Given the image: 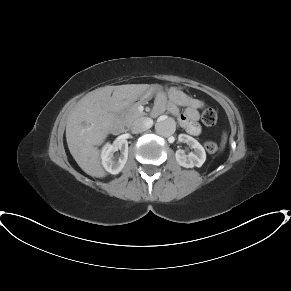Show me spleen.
I'll return each mask as SVG.
<instances>
[{
  "label": "spleen",
  "mask_w": 291,
  "mask_h": 291,
  "mask_svg": "<svg viewBox=\"0 0 291 291\" xmlns=\"http://www.w3.org/2000/svg\"><path fill=\"white\" fill-rule=\"evenodd\" d=\"M226 134L224 133L223 134V139H222V142H221V148L223 149L224 148V146H225V143H226Z\"/></svg>",
  "instance_id": "spleen-1"
}]
</instances>
